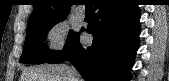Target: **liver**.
I'll return each mask as SVG.
<instances>
[{"label": "liver", "instance_id": "6515ba94", "mask_svg": "<svg viewBox=\"0 0 169 81\" xmlns=\"http://www.w3.org/2000/svg\"><path fill=\"white\" fill-rule=\"evenodd\" d=\"M69 66L66 64H44L26 69L21 81H71ZM82 78L80 77L79 81Z\"/></svg>", "mask_w": 169, "mask_h": 81}]
</instances>
